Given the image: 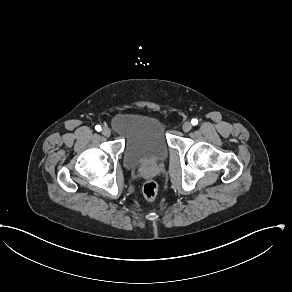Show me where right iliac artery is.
Wrapping results in <instances>:
<instances>
[{
  "instance_id": "right-iliac-artery-1",
  "label": "right iliac artery",
  "mask_w": 292,
  "mask_h": 292,
  "mask_svg": "<svg viewBox=\"0 0 292 292\" xmlns=\"http://www.w3.org/2000/svg\"><path fill=\"white\" fill-rule=\"evenodd\" d=\"M95 129H96V131L99 132V131H101V126H100V125H96V126H95Z\"/></svg>"
}]
</instances>
